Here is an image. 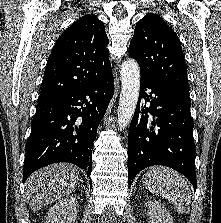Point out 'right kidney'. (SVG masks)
<instances>
[{
    "label": "right kidney",
    "instance_id": "obj_1",
    "mask_svg": "<svg viewBox=\"0 0 221 223\" xmlns=\"http://www.w3.org/2000/svg\"><path fill=\"white\" fill-rule=\"evenodd\" d=\"M76 218L77 203L75 198H64L49 209L45 223H75Z\"/></svg>",
    "mask_w": 221,
    "mask_h": 223
}]
</instances>
